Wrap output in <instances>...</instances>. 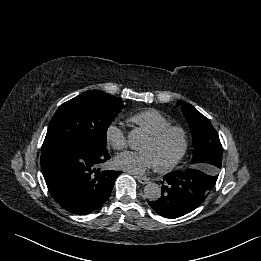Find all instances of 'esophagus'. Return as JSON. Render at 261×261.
Wrapping results in <instances>:
<instances>
[{
	"label": "esophagus",
	"instance_id": "obj_1",
	"mask_svg": "<svg viewBox=\"0 0 261 261\" xmlns=\"http://www.w3.org/2000/svg\"><path fill=\"white\" fill-rule=\"evenodd\" d=\"M135 178L138 180L139 183L141 184H148L149 183V179L146 177H141V176H135Z\"/></svg>",
	"mask_w": 261,
	"mask_h": 261
}]
</instances>
